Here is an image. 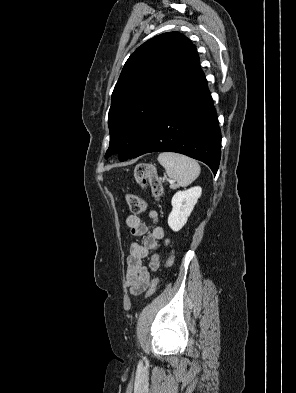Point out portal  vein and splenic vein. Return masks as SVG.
I'll return each instance as SVG.
<instances>
[{"label":"portal vein and splenic vein","instance_id":"18ae733b","mask_svg":"<svg viewBox=\"0 0 296 393\" xmlns=\"http://www.w3.org/2000/svg\"><path fill=\"white\" fill-rule=\"evenodd\" d=\"M169 182H170L171 184H174L175 181H174V180H170Z\"/></svg>","mask_w":296,"mask_h":393}]
</instances>
